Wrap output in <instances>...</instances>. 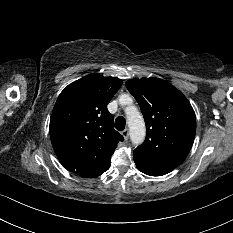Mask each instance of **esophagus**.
<instances>
[{
    "mask_svg": "<svg viewBox=\"0 0 233 233\" xmlns=\"http://www.w3.org/2000/svg\"><path fill=\"white\" fill-rule=\"evenodd\" d=\"M122 136L124 137L125 140L128 139V136H129V130L128 129H124L122 132H121Z\"/></svg>",
    "mask_w": 233,
    "mask_h": 233,
    "instance_id": "esophagus-1",
    "label": "esophagus"
}]
</instances>
